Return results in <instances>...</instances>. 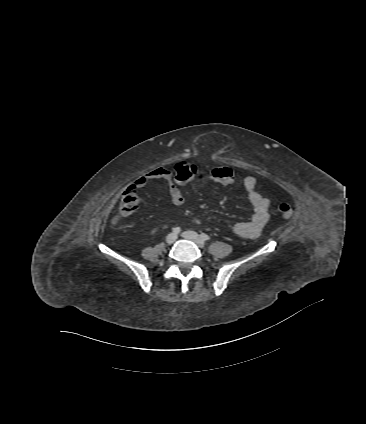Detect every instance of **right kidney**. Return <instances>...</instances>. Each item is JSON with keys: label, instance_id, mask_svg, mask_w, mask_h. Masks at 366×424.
<instances>
[{"label": "right kidney", "instance_id": "right-kidney-1", "mask_svg": "<svg viewBox=\"0 0 366 424\" xmlns=\"http://www.w3.org/2000/svg\"><path fill=\"white\" fill-rule=\"evenodd\" d=\"M157 232V228H154L153 230H151V234H155Z\"/></svg>", "mask_w": 366, "mask_h": 424}]
</instances>
